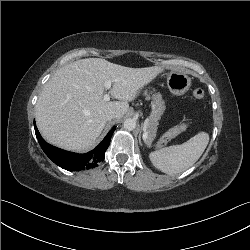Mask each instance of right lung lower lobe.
<instances>
[{"label": "right lung lower lobe", "mask_w": 250, "mask_h": 250, "mask_svg": "<svg viewBox=\"0 0 250 250\" xmlns=\"http://www.w3.org/2000/svg\"><path fill=\"white\" fill-rule=\"evenodd\" d=\"M34 128L38 142L45 154L58 166L69 171H78L94 168L99 162L104 160L105 151L107 150L111 136L116 127H113L103 141L92 151L86 154H77L68 152L48 144L40 135L36 124Z\"/></svg>", "instance_id": "obj_1"}]
</instances>
